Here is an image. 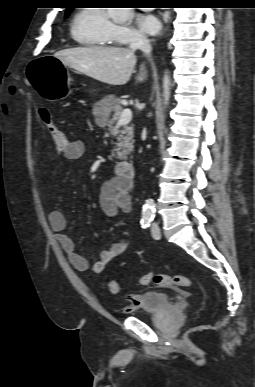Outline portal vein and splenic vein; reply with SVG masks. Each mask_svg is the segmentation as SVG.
<instances>
[{
	"label": "portal vein and splenic vein",
	"mask_w": 255,
	"mask_h": 387,
	"mask_svg": "<svg viewBox=\"0 0 255 387\" xmlns=\"http://www.w3.org/2000/svg\"><path fill=\"white\" fill-rule=\"evenodd\" d=\"M132 120V111L126 108L122 111L120 118L117 121V126L126 125Z\"/></svg>",
	"instance_id": "portal-vein-and-splenic-vein-1"
}]
</instances>
